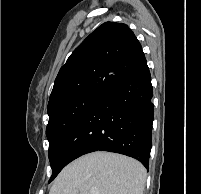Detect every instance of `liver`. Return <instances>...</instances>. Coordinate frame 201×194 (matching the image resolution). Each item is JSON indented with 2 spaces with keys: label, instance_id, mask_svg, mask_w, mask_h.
I'll use <instances>...</instances> for the list:
<instances>
[{
  "label": "liver",
  "instance_id": "6515ba94",
  "mask_svg": "<svg viewBox=\"0 0 201 194\" xmlns=\"http://www.w3.org/2000/svg\"><path fill=\"white\" fill-rule=\"evenodd\" d=\"M146 169L137 160L93 152L67 165L49 194H143Z\"/></svg>",
  "mask_w": 201,
  "mask_h": 194
}]
</instances>
